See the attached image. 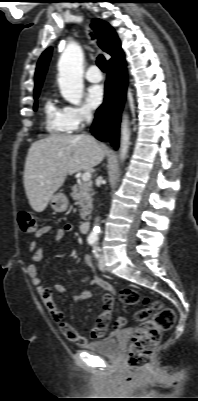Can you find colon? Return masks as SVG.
Listing matches in <instances>:
<instances>
[{
  "label": "colon",
  "instance_id": "1",
  "mask_svg": "<svg viewBox=\"0 0 198 401\" xmlns=\"http://www.w3.org/2000/svg\"><path fill=\"white\" fill-rule=\"evenodd\" d=\"M18 225L22 232L35 234L38 229L37 220L28 211H20L17 215ZM120 300L126 305H135L141 300L140 294L130 288L120 291ZM146 307L135 313V320L139 322L127 353V366L132 371L145 368L151 361L155 349L161 339L162 332L170 329L175 323V312L164 306L160 301L150 302L143 298ZM115 328L126 325V319L119 316L114 321Z\"/></svg>",
  "mask_w": 198,
  "mask_h": 401
}]
</instances>
